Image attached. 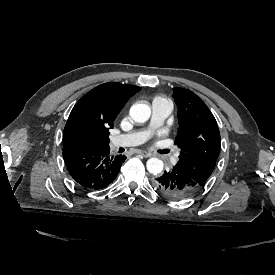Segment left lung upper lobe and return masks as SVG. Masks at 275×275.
Listing matches in <instances>:
<instances>
[{
    "label": "left lung upper lobe",
    "instance_id": "left-lung-upper-lobe-1",
    "mask_svg": "<svg viewBox=\"0 0 275 275\" xmlns=\"http://www.w3.org/2000/svg\"><path fill=\"white\" fill-rule=\"evenodd\" d=\"M179 129L175 144L181 149L177 165L203 186L220 152L217 122L205 103L192 91L173 88Z\"/></svg>",
    "mask_w": 275,
    "mask_h": 275
}]
</instances>
